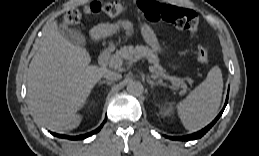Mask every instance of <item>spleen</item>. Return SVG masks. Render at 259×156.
<instances>
[{"label":"spleen","mask_w":259,"mask_h":156,"mask_svg":"<svg viewBox=\"0 0 259 156\" xmlns=\"http://www.w3.org/2000/svg\"><path fill=\"white\" fill-rule=\"evenodd\" d=\"M223 91V78L218 66L183 101L177 113L184 127L196 131L209 124L217 115Z\"/></svg>","instance_id":"spleen-1"}]
</instances>
